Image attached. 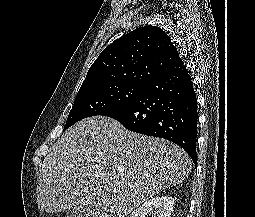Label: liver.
Returning a JSON list of instances; mask_svg holds the SVG:
<instances>
[{"label": "liver", "instance_id": "6515ba94", "mask_svg": "<svg viewBox=\"0 0 255 217\" xmlns=\"http://www.w3.org/2000/svg\"><path fill=\"white\" fill-rule=\"evenodd\" d=\"M191 159L178 145L94 116L70 127L44 158L37 190L47 213L85 207L91 217H126L181 183Z\"/></svg>", "mask_w": 255, "mask_h": 217}]
</instances>
